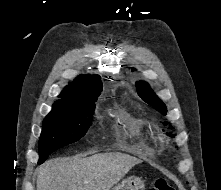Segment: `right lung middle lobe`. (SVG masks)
<instances>
[{"label":"right lung middle lobe","instance_id":"obj_1","mask_svg":"<svg viewBox=\"0 0 221 190\" xmlns=\"http://www.w3.org/2000/svg\"><path fill=\"white\" fill-rule=\"evenodd\" d=\"M96 100L81 103L73 108L52 111L43 120L39 140V164L53 151L78 141L92 124Z\"/></svg>","mask_w":221,"mask_h":190}]
</instances>
